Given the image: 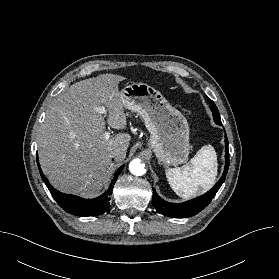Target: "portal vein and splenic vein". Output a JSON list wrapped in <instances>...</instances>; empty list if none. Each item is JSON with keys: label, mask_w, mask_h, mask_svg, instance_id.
<instances>
[{"label": "portal vein and splenic vein", "mask_w": 279, "mask_h": 279, "mask_svg": "<svg viewBox=\"0 0 279 279\" xmlns=\"http://www.w3.org/2000/svg\"><path fill=\"white\" fill-rule=\"evenodd\" d=\"M99 111H100L101 113H103V114L106 113V110H105L104 107H101V108L99 109ZM104 138H105V139H109V138H110V132H109V131H106V132H105Z\"/></svg>", "instance_id": "obj_1"}]
</instances>
